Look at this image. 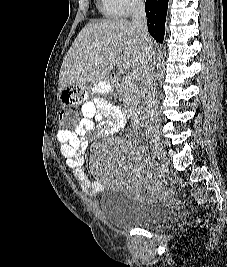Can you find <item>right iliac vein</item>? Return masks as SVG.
<instances>
[{"mask_svg":"<svg viewBox=\"0 0 227 267\" xmlns=\"http://www.w3.org/2000/svg\"><path fill=\"white\" fill-rule=\"evenodd\" d=\"M149 142H150L152 149L155 151L161 166L166 167L167 166L166 154H165V151L163 149L160 139L157 136H151L149 138Z\"/></svg>","mask_w":227,"mask_h":267,"instance_id":"1","label":"right iliac vein"}]
</instances>
